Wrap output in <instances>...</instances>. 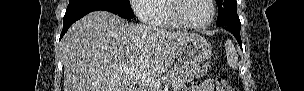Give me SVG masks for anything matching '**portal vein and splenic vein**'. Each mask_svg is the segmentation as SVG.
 I'll return each mask as SVG.
<instances>
[{
	"mask_svg": "<svg viewBox=\"0 0 304 91\" xmlns=\"http://www.w3.org/2000/svg\"><path fill=\"white\" fill-rule=\"evenodd\" d=\"M126 70V69H125ZM124 71V70H123ZM136 80L144 85L147 86L149 88H153V89H158L161 86V82L160 80L154 79V78H149V77H142V76H138L136 78ZM173 90L174 91H178L179 87L177 85H173Z\"/></svg>",
	"mask_w": 304,
	"mask_h": 91,
	"instance_id": "1",
	"label": "portal vein and splenic vein"
}]
</instances>
